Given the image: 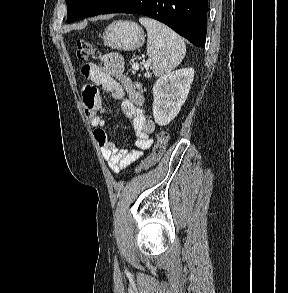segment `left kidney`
<instances>
[{"label":"left kidney","instance_id":"obj_1","mask_svg":"<svg viewBox=\"0 0 288 293\" xmlns=\"http://www.w3.org/2000/svg\"><path fill=\"white\" fill-rule=\"evenodd\" d=\"M194 78L193 68L179 69L160 77L153 86V117L160 126L169 124L180 112Z\"/></svg>","mask_w":288,"mask_h":293}]
</instances>
